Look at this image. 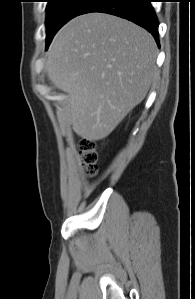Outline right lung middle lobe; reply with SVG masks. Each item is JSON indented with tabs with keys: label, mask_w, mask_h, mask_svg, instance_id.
<instances>
[{
	"label": "right lung middle lobe",
	"mask_w": 195,
	"mask_h": 299,
	"mask_svg": "<svg viewBox=\"0 0 195 299\" xmlns=\"http://www.w3.org/2000/svg\"><path fill=\"white\" fill-rule=\"evenodd\" d=\"M46 43L70 19L77 16L90 0H47Z\"/></svg>",
	"instance_id": "dd1d6c3e"
}]
</instances>
